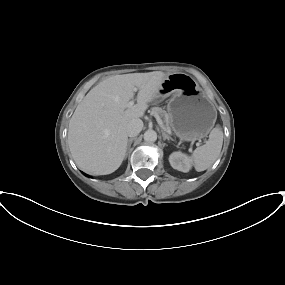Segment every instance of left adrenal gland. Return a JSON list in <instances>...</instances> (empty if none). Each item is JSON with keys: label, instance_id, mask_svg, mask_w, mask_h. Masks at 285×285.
Segmentation results:
<instances>
[{"label": "left adrenal gland", "instance_id": "left-adrenal-gland-1", "mask_svg": "<svg viewBox=\"0 0 285 285\" xmlns=\"http://www.w3.org/2000/svg\"><path fill=\"white\" fill-rule=\"evenodd\" d=\"M162 136H163V140H168L169 142L172 141L173 139L167 135L164 131H162Z\"/></svg>", "mask_w": 285, "mask_h": 285}]
</instances>
